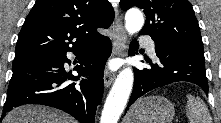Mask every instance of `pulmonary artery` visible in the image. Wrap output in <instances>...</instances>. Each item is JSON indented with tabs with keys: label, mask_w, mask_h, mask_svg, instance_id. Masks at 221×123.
Segmentation results:
<instances>
[{
	"label": "pulmonary artery",
	"mask_w": 221,
	"mask_h": 123,
	"mask_svg": "<svg viewBox=\"0 0 221 123\" xmlns=\"http://www.w3.org/2000/svg\"><path fill=\"white\" fill-rule=\"evenodd\" d=\"M141 40L145 44L147 51L151 55H154L155 54V46H154V43L152 42V40L148 37H141Z\"/></svg>",
	"instance_id": "obj_1"
}]
</instances>
